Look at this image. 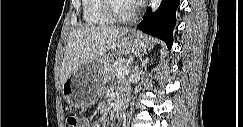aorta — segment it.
<instances>
[{"instance_id": "762f6f07", "label": "aorta", "mask_w": 243, "mask_h": 127, "mask_svg": "<svg viewBox=\"0 0 243 127\" xmlns=\"http://www.w3.org/2000/svg\"><path fill=\"white\" fill-rule=\"evenodd\" d=\"M160 4H161V0H151L150 6L152 12H155L159 8Z\"/></svg>"}]
</instances>
